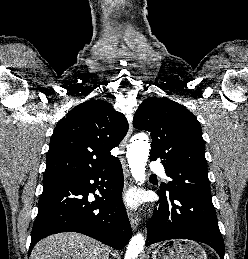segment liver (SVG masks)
Segmentation results:
<instances>
[{
  "mask_svg": "<svg viewBox=\"0 0 248 259\" xmlns=\"http://www.w3.org/2000/svg\"><path fill=\"white\" fill-rule=\"evenodd\" d=\"M109 250L102 243L83 234L65 232L39 241L30 259H108Z\"/></svg>",
  "mask_w": 248,
  "mask_h": 259,
  "instance_id": "6515ba94",
  "label": "liver"
}]
</instances>
